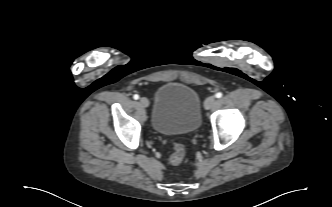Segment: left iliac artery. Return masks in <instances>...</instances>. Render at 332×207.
<instances>
[{
	"instance_id": "obj_1",
	"label": "left iliac artery",
	"mask_w": 332,
	"mask_h": 207,
	"mask_svg": "<svg viewBox=\"0 0 332 207\" xmlns=\"http://www.w3.org/2000/svg\"><path fill=\"white\" fill-rule=\"evenodd\" d=\"M222 95H223V94H222L221 92H218V93H216V95H215V96H216V98H221V97H222Z\"/></svg>"
}]
</instances>
